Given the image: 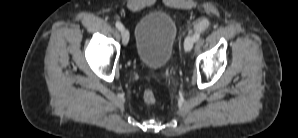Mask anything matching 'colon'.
<instances>
[{"label":"colon","mask_w":298,"mask_h":138,"mask_svg":"<svg viewBox=\"0 0 298 138\" xmlns=\"http://www.w3.org/2000/svg\"><path fill=\"white\" fill-rule=\"evenodd\" d=\"M144 99L147 103H151L154 99L153 94L151 92H146L144 94Z\"/></svg>","instance_id":"obj_1"}]
</instances>
